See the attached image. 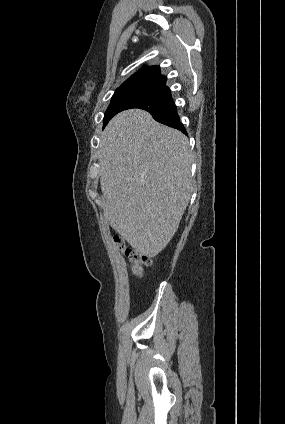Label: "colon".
Wrapping results in <instances>:
<instances>
[{
  "label": "colon",
  "mask_w": 285,
  "mask_h": 424,
  "mask_svg": "<svg viewBox=\"0 0 285 424\" xmlns=\"http://www.w3.org/2000/svg\"><path fill=\"white\" fill-rule=\"evenodd\" d=\"M121 253L131 263L132 272L135 276H141L145 268L151 265V259L140 251L127 247L119 236L114 237Z\"/></svg>",
  "instance_id": "5ec220e1"
}]
</instances>
